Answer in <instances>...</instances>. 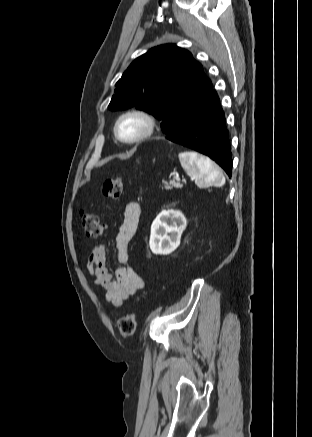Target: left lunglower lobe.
Returning a JSON list of instances; mask_svg holds the SVG:
<instances>
[{
  "label": "left lung lower lobe",
  "mask_w": 312,
  "mask_h": 437,
  "mask_svg": "<svg viewBox=\"0 0 312 437\" xmlns=\"http://www.w3.org/2000/svg\"><path fill=\"white\" fill-rule=\"evenodd\" d=\"M224 112L215 90L189 115L168 140L209 156L231 177L232 154Z\"/></svg>",
  "instance_id": "obj_1"
}]
</instances>
